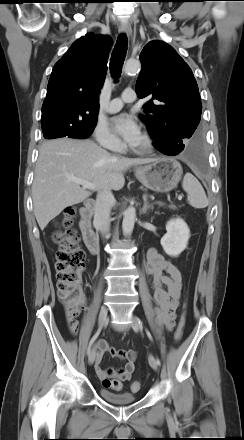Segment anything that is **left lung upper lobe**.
I'll use <instances>...</instances> for the list:
<instances>
[{"instance_id": "left-lung-upper-lobe-1", "label": "left lung upper lobe", "mask_w": 244, "mask_h": 440, "mask_svg": "<svg viewBox=\"0 0 244 440\" xmlns=\"http://www.w3.org/2000/svg\"><path fill=\"white\" fill-rule=\"evenodd\" d=\"M140 61L142 70L135 91L139 98H152L144 105L147 114L140 118L147 125L154 147L163 151L180 149L185 139L196 137L201 118L195 77L187 63L163 41L146 44Z\"/></svg>"}]
</instances>
